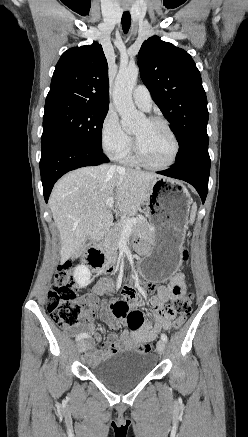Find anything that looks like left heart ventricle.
<instances>
[{"label":"left heart ventricle","mask_w":248,"mask_h":437,"mask_svg":"<svg viewBox=\"0 0 248 437\" xmlns=\"http://www.w3.org/2000/svg\"><path fill=\"white\" fill-rule=\"evenodd\" d=\"M145 159L155 165L168 162L173 154L174 143L161 124L141 120L132 130Z\"/></svg>","instance_id":"left-heart-ventricle-1"}]
</instances>
